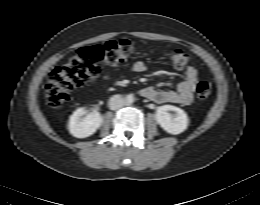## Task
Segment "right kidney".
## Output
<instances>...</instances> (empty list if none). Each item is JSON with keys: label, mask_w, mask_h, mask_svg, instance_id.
<instances>
[{"label": "right kidney", "mask_w": 260, "mask_h": 205, "mask_svg": "<svg viewBox=\"0 0 260 205\" xmlns=\"http://www.w3.org/2000/svg\"><path fill=\"white\" fill-rule=\"evenodd\" d=\"M83 115L86 116L82 117ZM102 121L103 118L97 111L87 114L84 108H79L70 116L68 129L74 137L86 138L96 132Z\"/></svg>", "instance_id": "ca27d5eb"}]
</instances>
